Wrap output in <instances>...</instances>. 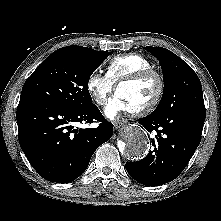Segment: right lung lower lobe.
<instances>
[{"label":"right lung lower lobe","instance_id":"98d812e1","mask_svg":"<svg viewBox=\"0 0 221 221\" xmlns=\"http://www.w3.org/2000/svg\"><path fill=\"white\" fill-rule=\"evenodd\" d=\"M19 143L33 168L44 179L67 183L87 168L96 149L113 135L95 104L68 108L20 100L17 113ZM101 121L97 128L77 129L76 123Z\"/></svg>","mask_w":221,"mask_h":221}]
</instances>
